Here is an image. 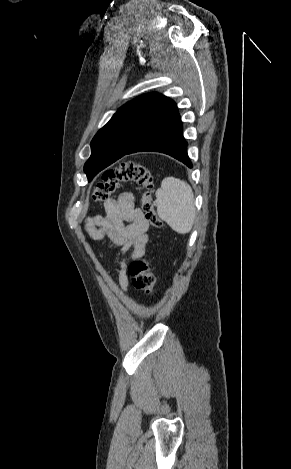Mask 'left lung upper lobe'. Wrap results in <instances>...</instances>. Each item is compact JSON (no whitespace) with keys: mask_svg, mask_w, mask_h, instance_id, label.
Returning <instances> with one entry per match:
<instances>
[{"mask_svg":"<svg viewBox=\"0 0 291 469\" xmlns=\"http://www.w3.org/2000/svg\"><path fill=\"white\" fill-rule=\"evenodd\" d=\"M177 109L173 100L159 93L144 94L118 109L90 143L92 154L84 165L88 181L164 123Z\"/></svg>","mask_w":291,"mask_h":469,"instance_id":"5c2ea615","label":"left lung upper lobe"}]
</instances>
